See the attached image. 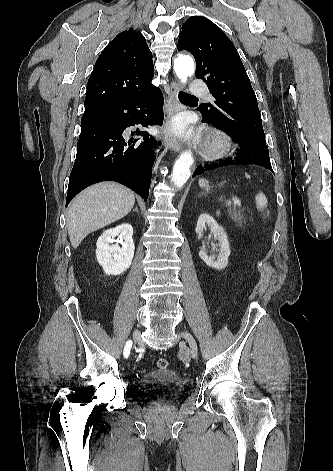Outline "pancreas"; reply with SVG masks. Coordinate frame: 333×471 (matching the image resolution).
<instances>
[{"instance_id": "1", "label": "pancreas", "mask_w": 333, "mask_h": 471, "mask_svg": "<svg viewBox=\"0 0 333 471\" xmlns=\"http://www.w3.org/2000/svg\"><path fill=\"white\" fill-rule=\"evenodd\" d=\"M228 213H229L230 218L237 224L242 225L246 223V219L244 215L240 211H238L236 208H230L228 210Z\"/></svg>"}]
</instances>
